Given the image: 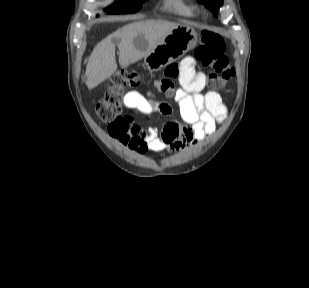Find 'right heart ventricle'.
<instances>
[{
  "instance_id": "right-heart-ventricle-1",
  "label": "right heart ventricle",
  "mask_w": 309,
  "mask_h": 288,
  "mask_svg": "<svg viewBox=\"0 0 309 288\" xmlns=\"http://www.w3.org/2000/svg\"><path fill=\"white\" fill-rule=\"evenodd\" d=\"M164 5L167 9L185 17H192L196 12L195 7L187 4L183 0H164Z\"/></svg>"
}]
</instances>
